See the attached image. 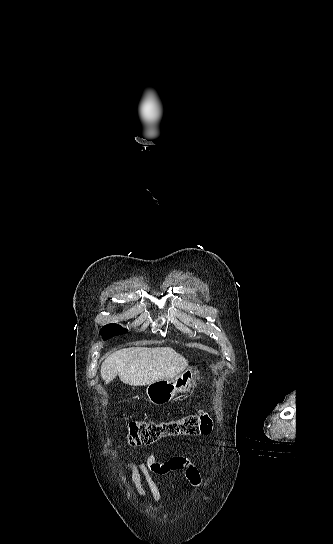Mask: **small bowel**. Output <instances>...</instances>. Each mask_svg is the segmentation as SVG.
I'll return each mask as SVG.
<instances>
[{
	"label": "small bowel",
	"mask_w": 333,
	"mask_h": 544,
	"mask_svg": "<svg viewBox=\"0 0 333 544\" xmlns=\"http://www.w3.org/2000/svg\"><path fill=\"white\" fill-rule=\"evenodd\" d=\"M126 469L130 471V479L136 493L147 502L148 506H151L148 501L149 495L155 501H160L162 498L152 474L163 475L170 471L184 470L185 477L192 486H198L201 481L197 467L183 456L172 457L165 462H160L153 454H149L140 463H128ZM121 481L124 485L126 484L127 476L125 474L121 475Z\"/></svg>",
	"instance_id": "small-bowel-1"
}]
</instances>
